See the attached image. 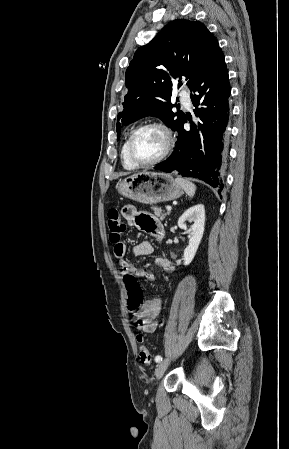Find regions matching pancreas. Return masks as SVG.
<instances>
[{"mask_svg":"<svg viewBox=\"0 0 289 449\" xmlns=\"http://www.w3.org/2000/svg\"><path fill=\"white\" fill-rule=\"evenodd\" d=\"M151 209L154 211L155 215L160 217L163 220L170 212L165 213L161 207L152 206Z\"/></svg>","mask_w":289,"mask_h":449,"instance_id":"pancreas-1","label":"pancreas"}]
</instances>
